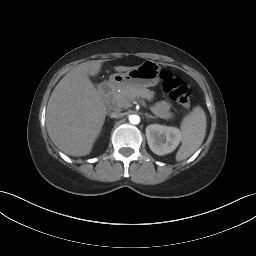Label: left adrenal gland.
Listing matches in <instances>:
<instances>
[{
    "label": "left adrenal gland",
    "mask_w": 256,
    "mask_h": 256,
    "mask_svg": "<svg viewBox=\"0 0 256 256\" xmlns=\"http://www.w3.org/2000/svg\"><path fill=\"white\" fill-rule=\"evenodd\" d=\"M145 116H146L147 118H151V119H155V118H156L155 116L149 115L148 113H146Z\"/></svg>",
    "instance_id": "a2214340"
}]
</instances>
